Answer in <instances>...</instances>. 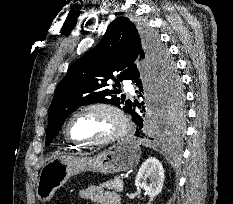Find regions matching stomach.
<instances>
[{
    "instance_id": "stomach-1",
    "label": "stomach",
    "mask_w": 233,
    "mask_h": 204,
    "mask_svg": "<svg viewBox=\"0 0 233 204\" xmlns=\"http://www.w3.org/2000/svg\"><path fill=\"white\" fill-rule=\"evenodd\" d=\"M141 149L131 140H123L93 157H57L48 161L41 169L36 195L40 201H49L55 191L70 177L91 171L113 174L130 170L137 166Z\"/></svg>"
}]
</instances>
